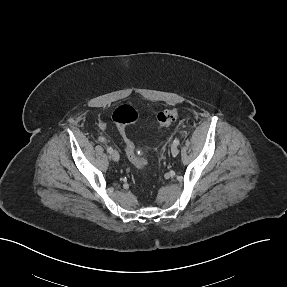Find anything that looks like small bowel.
<instances>
[{
  "instance_id": "obj_1",
  "label": "small bowel",
  "mask_w": 287,
  "mask_h": 287,
  "mask_svg": "<svg viewBox=\"0 0 287 287\" xmlns=\"http://www.w3.org/2000/svg\"><path fill=\"white\" fill-rule=\"evenodd\" d=\"M99 124H100L101 129H106L107 128V124H106L105 121L101 120Z\"/></svg>"
}]
</instances>
